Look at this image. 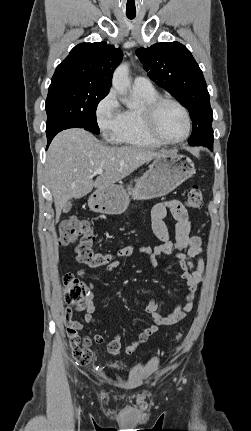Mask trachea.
Listing matches in <instances>:
<instances>
[{
	"label": "trachea",
	"mask_w": 251,
	"mask_h": 431,
	"mask_svg": "<svg viewBox=\"0 0 251 431\" xmlns=\"http://www.w3.org/2000/svg\"><path fill=\"white\" fill-rule=\"evenodd\" d=\"M127 17H128L129 19H134V18H135V15H127Z\"/></svg>",
	"instance_id": "trachea-1"
}]
</instances>
